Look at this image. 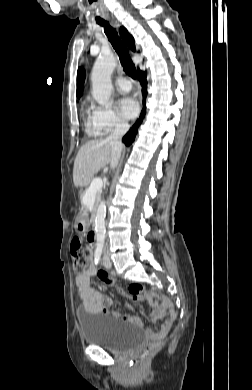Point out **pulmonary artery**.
Listing matches in <instances>:
<instances>
[{
	"label": "pulmonary artery",
	"instance_id": "obj_1",
	"mask_svg": "<svg viewBox=\"0 0 252 390\" xmlns=\"http://www.w3.org/2000/svg\"><path fill=\"white\" fill-rule=\"evenodd\" d=\"M115 84L117 88L122 91V92H128L131 89V84L130 82L123 77H119L116 79Z\"/></svg>",
	"mask_w": 252,
	"mask_h": 390
}]
</instances>
